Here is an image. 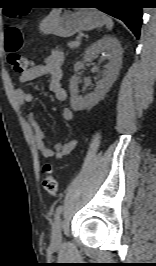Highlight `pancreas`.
<instances>
[{"label": "pancreas", "mask_w": 156, "mask_h": 266, "mask_svg": "<svg viewBox=\"0 0 156 266\" xmlns=\"http://www.w3.org/2000/svg\"><path fill=\"white\" fill-rule=\"evenodd\" d=\"M69 48L74 49L80 46V40L71 41L68 43Z\"/></svg>", "instance_id": "1"}]
</instances>
